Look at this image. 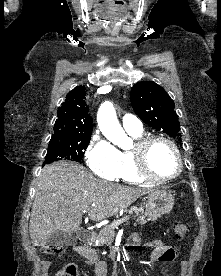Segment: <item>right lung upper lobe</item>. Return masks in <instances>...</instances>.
Instances as JSON below:
<instances>
[{"label":"right lung upper lobe","mask_w":221,"mask_h":276,"mask_svg":"<svg viewBox=\"0 0 221 276\" xmlns=\"http://www.w3.org/2000/svg\"><path fill=\"white\" fill-rule=\"evenodd\" d=\"M88 112L89 108L85 103V87L77 86L67 94L65 101L58 108V119L51 139L91 136L93 124Z\"/></svg>","instance_id":"obj_1"}]
</instances>
